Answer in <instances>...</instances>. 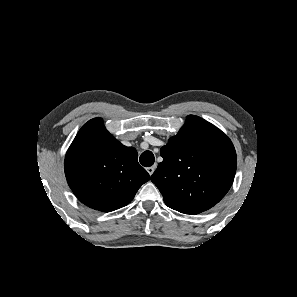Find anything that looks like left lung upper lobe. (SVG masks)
Segmentation results:
<instances>
[{"label":"left lung upper lobe","instance_id":"5c2ea615","mask_svg":"<svg viewBox=\"0 0 297 297\" xmlns=\"http://www.w3.org/2000/svg\"><path fill=\"white\" fill-rule=\"evenodd\" d=\"M151 181L165 204L198 214L217 204L230 189L237 166L231 140L206 120L190 115L178 134L161 148Z\"/></svg>","mask_w":297,"mask_h":297}]
</instances>
